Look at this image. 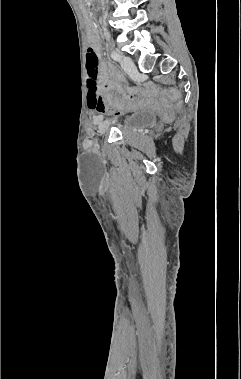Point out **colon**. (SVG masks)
I'll return each mask as SVG.
<instances>
[{"label":"colon","instance_id":"1","mask_svg":"<svg viewBox=\"0 0 241 379\" xmlns=\"http://www.w3.org/2000/svg\"><path fill=\"white\" fill-rule=\"evenodd\" d=\"M87 85L88 83H97L99 77V59L92 47L87 49L86 53ZM175 93H170L167 97H157V94H151L150 90H141L139 98H122L121 92H115L114 87H108L103 94L101 101L106 103H121L126 105L127 109H149V107L158 109L161 114L170 118L173 115V104H178V99H173ZM179 105V104H178Z\"/></svg>","mask_w":241,"mask_h":379}]
</instances>
